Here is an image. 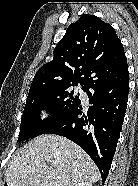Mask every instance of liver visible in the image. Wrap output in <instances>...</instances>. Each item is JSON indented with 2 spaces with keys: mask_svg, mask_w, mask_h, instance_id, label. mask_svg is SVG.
Here are the masks:
<instances>
[{
  "mask_svg": "<svg viewBox=\"0 0 138 186\" xmlns=\"http://www.w3.org/2000/svg\"><path fill=\"white\" fill-rule=\"evenodd\" d=\"M99 178L88 154L58 135L34 138L14 155L5 172L8 186H75Z\"/></svg>",
  "mask_w": 138,
  "mask_h": 186,
  "instance_id": "obj_1",
  "label": "liver"
}]
</instances>
